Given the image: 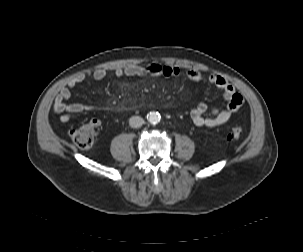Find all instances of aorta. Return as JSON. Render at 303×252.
<instances>
[{
  "label": "aorta",
  "mask_w": 303,
  "mask_h": 252,
  "mask_svg": "<svg viewBox=\"0 0 303 252\" xmlns=\"http://www.w3.org/2000/svg\"><path fill=\"white\" fill-rule=\"evenodd\" d=\"M147 120L153 124V125H156L160 122L161 120V116L158 112H150L148 113L147 115Z\"/></svg>",
  "instance_id": "762f6f07"
}]
</instances>
